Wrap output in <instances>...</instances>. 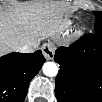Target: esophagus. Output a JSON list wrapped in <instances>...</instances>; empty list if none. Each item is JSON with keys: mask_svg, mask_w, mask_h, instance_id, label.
I'll use <instances>...</instances> for the list:
<instances>
[{"mask_svg": "<svg viewBox=\"0 0 102 102\" xmlns=\"http://www.w3.org/2000/svg\"><path fill=\"white\" fill-rule=\"evenodd\" d=\"M43 55L47 60H53L54 58V47L50 43H46L41 48Z\"/></svg>", "mask_w": 102, "mask_h": 102, "instance_id": "obj_1", "label": "esophagus"}]
</instances>
